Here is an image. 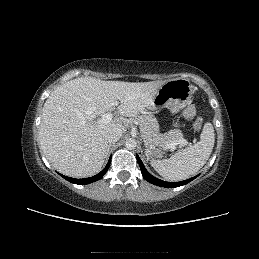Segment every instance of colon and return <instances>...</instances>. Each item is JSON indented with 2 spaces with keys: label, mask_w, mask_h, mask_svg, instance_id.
Instances as JSON below:
<instances>
[{
  "label": "colon",
  "mask_w": 259,
  "mask_h": 259,
  "mask_svg": "<svg viewBox=\"0 0 259 259\" xmlns=\"http://www.w3.org/2000/svg\"><path fill=\"white\" fill-rule=\"evenodd\" d=\"M184 115L186 118L193 121V125L196 129L199 130L202 128V125H203L202 118L197 115V111L194 105H189L184 110Z\"/></svg>",
  "instance_id": "colon-1"
}]
</instances>
